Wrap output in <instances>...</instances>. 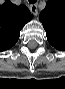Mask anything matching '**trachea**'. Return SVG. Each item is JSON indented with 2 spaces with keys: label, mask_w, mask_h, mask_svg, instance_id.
Here are the masks:
<instances>
[{
  "label": "trachea",
  "mask_w": 65,
  "mask_h": 89,
  "mask_svg": "<svg viewBox=\"0 0 65 89\" xmlns=\"http://www.w3.org/2000/svg\"><path fill=\"white\" fill-rule=\"evenodd\" d=\"M30 4H34L37 2V0H28Z\"/></svg>",
  "instance_id": "3493384b"
}]
</instances>
